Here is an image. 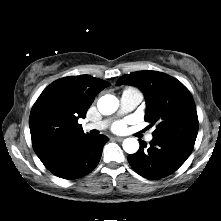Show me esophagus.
I'll return each instance as SVG.
<instances>
[{"instance_id":"34e87169","label":"esophagus","mask_w":221,"mask_h":221,"mask_svg":"<svg viewBox=\"0 0 221 221\" xmlns=\"http://www.w3.org/2000/svg\"><path fill=\"white\" fill-rule=\"evenodd\" d=\"M113 139L116 140V141H123L122 137H113Z\"/></svg>"}]
</instances>
